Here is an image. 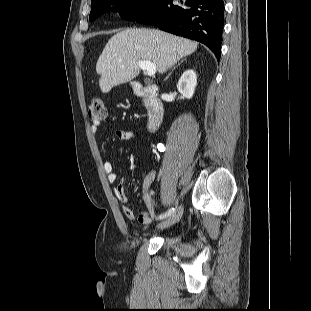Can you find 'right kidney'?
Segmentation results:
<instances>
[{
    "label": "right kidney",
    "instance_id": "obj_1",
    "mask_svg": "<svg viewBox=\"0 0 311 311\" xmlns=\"http://www.w3.org/2000/svg\"><path fill=\"white\" fill-rule=\"evenodd\" d=\"M196 85V73L192 69H189L185 71L179 79L177 89L185 98L190 99L194 94Z\"/></svg>",
    "mask_w": 311,
    "mask_h": 311
}]
</instances>
